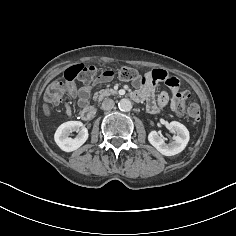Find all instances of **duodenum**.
Here are the masks:
<instances>
[{
    "mask_svg": "<svg viewBox=\"0 0 236 236\" xmlns=\"http://www.w3.org/2000/svg\"><path fill=\"white\" fill-rule=\"evenodd\" d=\"M95 108L92 106H86L84 107L81 112H80V116L82 117V119L84 120H90L95 116Z\"/></svg>",
    "mask_w": 236,
    "mask_h": 236,
    "instance_id": "1",
    "label": "duodenum"
}]
</instances>
